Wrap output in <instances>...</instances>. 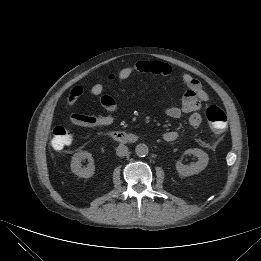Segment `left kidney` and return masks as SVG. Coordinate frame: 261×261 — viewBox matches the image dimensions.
<instances>
[{
  "label": "left kidney",
  "instance_id": "left-kidney-1",
  "mask_svg": "<svg viewBox=\"0 0 261 261\" xmlns=\"http://www.w3.org/2000/svg\"><path fill=\"white\" fill-rule=\"evenodd\" d=\"M184 154H193L198 158V161L191 163L190 165H184L180 160L176 163V170L179 175L188 177L194 174H198L203 171L208 165V154L198 148L188 149Z\"/></svg>",
  "mask_w": 261,
  "mask_h": 261
}]
</instances>
